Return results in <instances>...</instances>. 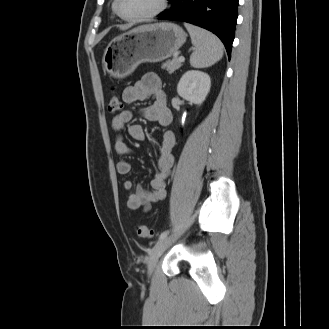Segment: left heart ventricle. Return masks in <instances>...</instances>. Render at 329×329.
<instances>
[{"instance_id":"1","label":"left heart ventricle","mask_w":329,"mask_h":329,"mask_svg":"<svg viewBox=\"0 0 329 329\" xmlns=\"http://www.w3.org/2000/svg\"><path fill=\"white\" fill-rule=\"evenodd\" d=\"M160 0H120V12L127 17L148 14L159 6Z\"/></svg>"}]
</instances>
